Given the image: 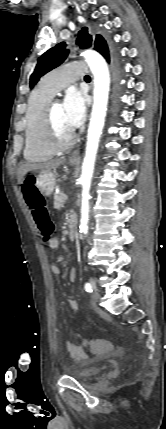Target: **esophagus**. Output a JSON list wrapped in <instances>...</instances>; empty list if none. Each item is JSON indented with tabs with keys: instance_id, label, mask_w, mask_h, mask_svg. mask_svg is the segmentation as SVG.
I'll use <instances>...</instances> for the list:
<instances>
[{
	"instance_id": "1",
	"label": "esophagus",
	"mask_w": 166,
	"mask_h": 429,
	"mask_svg": "<svg viewBox=\"0 0 166 429\" xmlns=\"http://www.w3.org/2000/svg\"><path fill=\"white\" fill-rule=\"evenodd\" d=\"M78 151L76 150V151H74L73 153H72V155H71V159H75V158H78Z\"/></svg>"
}]
</instances>
